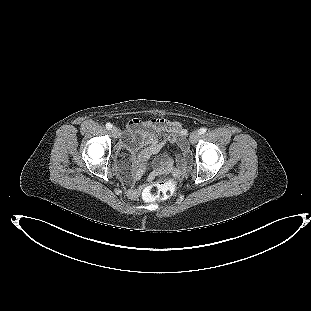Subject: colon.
<instances>
[{"label": "colon", "mask_w": 311, "mask_h": 311, "mask_svg": "<svg viewBox=\"0 0 311 311\" xmlns=\"http://www.w3.org/2000/svg\"><path fill=\"white\" fill-rule=\"evenodd\" d=\"M122 173V172H121ZM122 175L126 177L123 173ZM176 187L169 182L153 183L148 185L143 191V198L148 202L164 200L174 195Z\"/></svg>", "instance_id": "1"}]
</instances>
